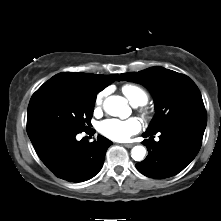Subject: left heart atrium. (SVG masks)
<instances>
[{"mask_svg": "<svg viewBox=\"0 0 221 221\" xmlns=\"http://www.w3.org/2000/svg\"><path fill=\"white\" fill-rule=\"evenodd\" d=\"M141 125L135 118L126 120L107 119L102 121L98 130L101 134L114 141H126L133 134L139 132Z\"/></svg>", "mask_w": 221, "mask_h": 221, "instance_id": "39dd6f15", "label": "left heart atrium"}]
</instances>
